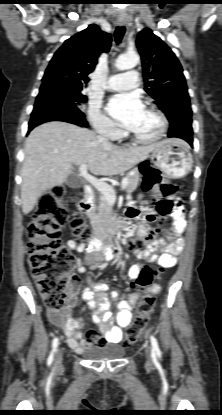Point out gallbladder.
<instances>
[{
	"label": "gallbladder",
	"instance_id": "bac80fb5",
	"mask_svg": "<svg viewBox=\"0 0 222 415\" xmlns=\"http://www.w3.org/2000/svg\"><path fill=\"white\" fill-rule=\"evenodd\" d=\"M65 184L70 188H78L82 185V179L74 174H70L67 177Z\"/></svg>",
	"mask_w": 222,
	"mask_h": 415
}]
</instances>
